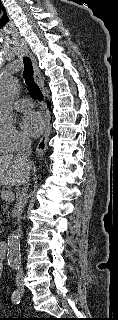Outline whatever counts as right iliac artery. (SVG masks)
<instances>
[{
    "label": "right iliac artery",
    "instance_id": "right-iliac-artery-1",
    "mask_svg": "<svg viewBox=\"0 0 118 320\" xmlns=\"http://www.w3.org/2000/svg\"><path fill=\"white\" fill-rule=\"evenodd\" d=\"M20 299H21V293L16 290L13 292L12 296H11V300L14 304H19L20 303Z\"/></svg>",
    "mask_w": 118,
    "mask_h": 320
}]
</instances>
